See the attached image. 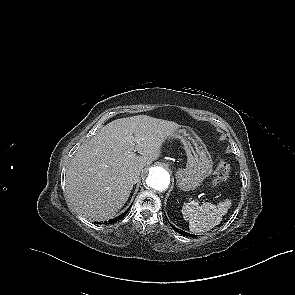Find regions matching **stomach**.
I'll use <instances>...</instances> for the list:
<instances>
[{"mask_svg":"<svg viewBox=\"0 0 295 295\" xmlns=\"http://www.w3.org/2000/svg\"><path fill=\"white\" fill-rule=\"evenodd\" d=\"M169 138H178L184 144L187 165L176 171L177 186L182 191L198 188L213 168V161L202 140L191 130L179 128Z\"/></svg>","mask_w":295,"mask_h":295,"instance_id":"obj_1","label":"stomach"}]
</instances>
